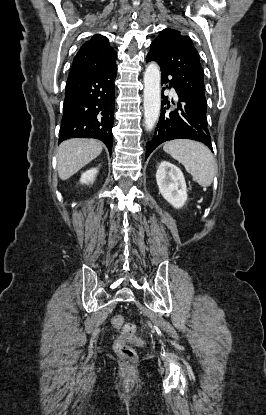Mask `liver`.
<instances>
[{
	"instance_id": "obj_1",
	"label": "liver",
	"mask_w": 266,
	"mask_h": 415,
	"mask_svg": "<svg viewBox=\"0 0 266 415\" xmlns=\"http://www.w3.org/2000/svg\"><path fill=\"white\" fill-rule=\"evenodd\" d=\"M102 142L95 139H69L57 151L59 178L67 180L102 152Z\"/></svg>"
}]
</instances>
